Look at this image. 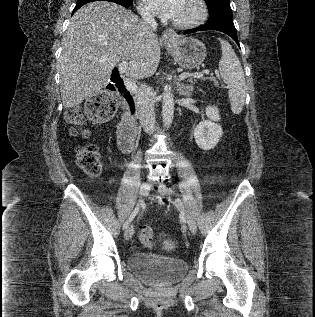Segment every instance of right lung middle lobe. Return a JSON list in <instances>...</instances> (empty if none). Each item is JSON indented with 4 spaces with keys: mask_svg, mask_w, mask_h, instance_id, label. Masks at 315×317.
I'll list each match as a JSON object with an SVG mask.
<instances>
[{
    "mask_svg": "<svg viewBox=\"0 0 315 317\" xmlns=\"http://www.w3.org/2000/svg\"><path fill=\"white\" fill-rule=\"evenodd\" d=\"M92 1H96V0H77V4H81V3H88V2H92ZM117 1H121L127 4H132V0H117Z\"/></svg>",
    "mask_w": 315,
    "mask_h": 317,
    "instance_id": "obj_1",
    "label": "right lung middle lobe"
}]
</instances>
